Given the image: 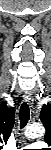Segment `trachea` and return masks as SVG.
<instances>
[{
    "instance_id": "1",
    "label": "trachea",
    "mask_w": 51,
    "mask_h": 150,
    "mask_svg": "<svg viewBox=\"0 0 51 150\" xmlns=\"http://www.w3.org/2000/svg\"><path fill=\"white\" fill-rule=\"evenodd\" d=\"M19 117H20V128L22 129L27 125L30 117V110L27 103H22L20 107Z\"/></svg>"
}]
</instances>
